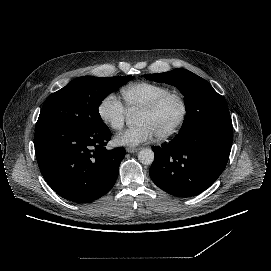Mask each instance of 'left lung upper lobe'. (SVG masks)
<instances>
[{
  "instance_id": "5c2ea615",
  "label": "left lung upper lobe",
  "mask_w": 271,
  "mask_h": 271,
  "mask_svg": "<svg viewBox=\"0 0 271 271\" xmlns=\"http://www.w3.org/2000/svg\"><path fill=\"white\" fill-rule=\"evenodd\" d=\"M144 78L172 84L185 96L186 116L179 132L205 123L232 124L223 97L203 78L183 68L160 74H145Z\"/></svg>"
}]
</instances>
